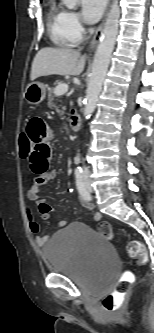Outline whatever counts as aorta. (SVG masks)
<instances>
[{"instance_id":"aorta-1","label":"aorta","mask_w":154,"mask_h":333,"mask_svg":"<svg viewBox=\"0 0 154 333\" xmlns=\"http://www.w3.org/2000/svg\"><path fill=\"white\" fill-rule=\"evenodd\" d=\"M65 6L69 9H75L78 0H62ZM120 7L118 0H114L107 20L104 26L103 34L100 38V43L97 47L90 81L86 91L84 117L90 118L95 110L98 97L102 90V85L106 77L110 57L115 45L116 36L119 28Z\"/></svg>"}]
</instances>
